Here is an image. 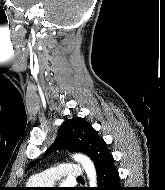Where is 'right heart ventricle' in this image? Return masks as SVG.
Instances as JSON below:
<instances>
[{"label":"right heart ventricle","mask_w":165,"mask_h":190,"mask_svg":"<svg viewBox=\"0 0 165 190\" xmlns=\"http://www.w3.org/2000/svg\"><path fill=\"white\" fill-rule=\"evenodd\" d=\"M28 185H29V187L36 186V184H34L32 181H30Z\"/></svg>","instance_id":"1"}]
</instances>
